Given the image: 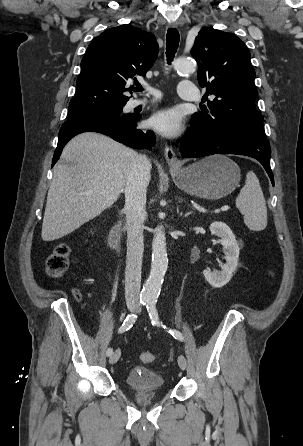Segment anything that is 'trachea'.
<instances>
[{
  "label": "trachea",
  "instance_id": "1",
  "mask_svg": "<svg viewBox=\"0 0 303 446\" xmlns=\"http://www.w3.org/2000/svg\"><path fill=\"white\" fill-rule=\"evenodd\" d=\"M166 45L167 61L168 64H170L173 61L179 45V33L175 28L168 29L166 35ZM135 91H143V87L139 85L137 88H135Z\"/></svg>",
  "mask_w": 303,
  "mask_h": 446
}]
</instances>
